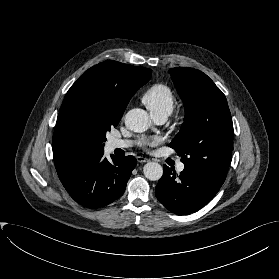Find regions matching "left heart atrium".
I'll return each instance as SVG.
<instances>
[{"instance_id":"obj_1","label":"left heart atrium","mask_w":279,"mask_h":279,"mask_svg":"<svg viewBox=\"0 0 279 279\" xmlns=\"http://www.w3.org/2000/svg\"><path fill=\"white\" fill-rule=\"evenodd\" d=\"M154 141L153 140H150V139H143L141 140L140 144L143 146V147H146V146H149L151 144H153Z\"/></svg>"}]
</instances>
